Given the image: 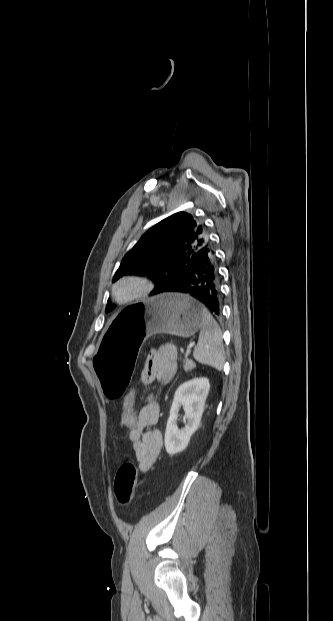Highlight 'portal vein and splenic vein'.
<instances>
[{"instance_id": "obj_1", "label": "portal vein and splenic vein", "mask_w": 333, "mask_h": 621, "mask_svg": "<svg viewBox=\"0 0 333 621\" xmlns=\"http://www.w3.org/2000/svg\"><path fill=\"white\" fill-rule=\"evenodd\" d=\"M194 345H195V343H194V342H193V343H191V344L189 345V347H188V348H187V350H186V354H190V352H191V348H192Z\"/></svg>"}]
</instances>
